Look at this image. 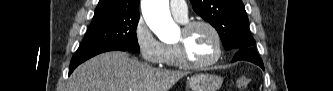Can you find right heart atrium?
Returning <instances> with one entry per match:
<instances>
[{
	"instance_id": "1",
	"label": "right heart atrium",
	"mask_w": 333,
	"mask_h": 91,
	"mask_svg": "<svg viewBox=\"0 0 333 91\" xmlns=\"http://www.w3.org/2000/svg\"><path fill=\"white\" fill-rule=\"evenodd\" d=\"M134 41L142 56L149 64L160 65L164 62L165 47L155 37L143 17H140L133 30Z\"/></svg>"
}]
</instances>
